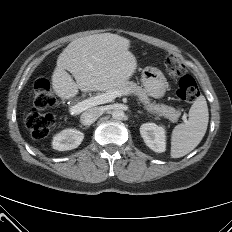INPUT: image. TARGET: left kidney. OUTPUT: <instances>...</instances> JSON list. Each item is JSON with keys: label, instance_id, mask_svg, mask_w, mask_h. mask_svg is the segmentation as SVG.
<instances>
[{"label": "left kidney", "instance_id": "obj_1", "mask_svg": "<svg viewBox=\"0 0 232 232\" xmlns=\"http://www.w3.org/2000/svg\"><path fill=\"white\" fill-rule=\"evenodd\" d=\"M140 134L146 145L157 153L166 150V131L163 126L155 123H144L140 127Z\"/></svg>", "mask_w": 232, "mask_h": 232}]
</instances>
